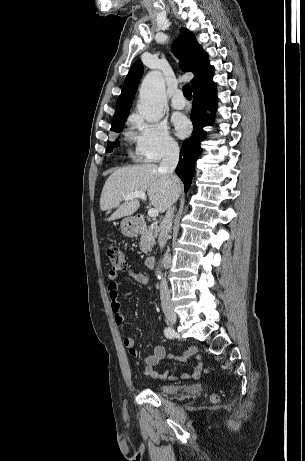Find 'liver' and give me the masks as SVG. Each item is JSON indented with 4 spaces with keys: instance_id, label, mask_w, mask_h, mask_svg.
Wrapping results in <instances>:
<instances>
[{
    "instance_id": "liver-1",
    "label": "liver",
    "mask_w": 305,
    "mask_h": 461,
    "mask_svg": "<svg viewBox=\"0 0 305 461\" xmlns=\"http://www.w3.org/2000/svg\"><path fill=\"white\" fill-rule=\"evenodd\" d=\"M181 190L180 179L177 176L169 178L156 164L130 165L117 169L108 177L101 193L100 208L102 211L116 208L107 221L130 216L138 210L140 201L135 198L121 204L123 197L147 191L151 204L163 213L171 206L172 198L179 197Z\"/></svg>"
}]
</instances>
